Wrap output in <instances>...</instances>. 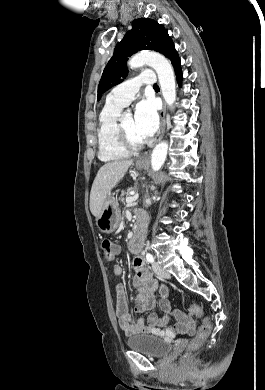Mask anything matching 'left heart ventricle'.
<instances>
[{"instance_id":"1","label":"left heart ventricle","mask_w":265,"mask_h":390,"mask_svg":"<svg viewBox=\"0 0 265 390\" xmlns=\"http://www.w3.org/2000/svg\"><path fill=\"white\" fill-rule=\"evenodd\" d=\"M124 128L129 135V137L134 141V142H141L144 141L136 132L135 130V125H134V118L132 115H125L122 118Z\"/></svg>"}]
</instances>
